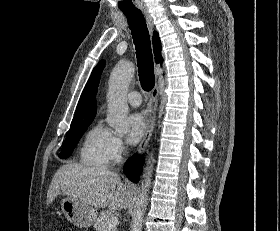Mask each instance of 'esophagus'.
Masks as SVG:
<instances>
[{"mask_svg":"<svg viewBox=\"0 0 280 231\" xmlns=\"http://www.w3.org/2000/svg\"><path fill=\"white\" fill-rule=\"evenodd\" d=\"M139 9L143 13L145 20H146L147 27L149 29V32L152 35L153 30H154V23H153V19H152L151 15L149 13L148 7L141 6V7H139ZM158 92H159L158 85H156L153 88L151 96H150V103H149V109H148V115H147V126H146V130H145L143 139L137 150L138 154H141L146 150L147 146L149 145L150 138L152 136L155 118H156Z\"/></svg>","mask_w":280,"mask_h":231,"instance_id":"1","label":"esophagus"}]
</instances>
